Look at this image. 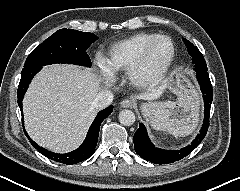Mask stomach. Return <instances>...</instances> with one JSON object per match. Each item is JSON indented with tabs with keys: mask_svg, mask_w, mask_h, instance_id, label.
Here are the masks:
<instances>
[{
	"mask_svg": "<svg viewBox=\"0 0 240 191\" xmlns=\"http://www.w3.org/2000/svg\"><path fill=\"white\" fill-rule=\"evenodd\" d=\"M166 87L178 96L176 102H147L141 105L142 114L149 121L159 110L167 109L171 117L181 124L198 123L199 95L190 80L180 72H172Z\"/></svg>",
	"mask_w": 240,
	"mask_h": 191,
	"instance_id": "stomach-1",
	"label": "stomach"
}]
</instances>
